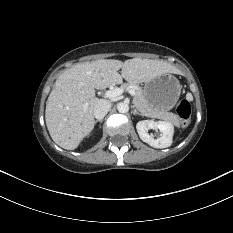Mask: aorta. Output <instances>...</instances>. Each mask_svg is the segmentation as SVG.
I'll list each match as a JSON object with an SVG mask.
<instances>
[{"mask_svg": "<svg viewBox=\"0 0 233 233\" xmlns=\"http://www.w3.org/2000/svg\"><path fill=\"white\" fill-rule=\"evenodd\" d=\"M117 109L120 113H127L129 111V105L126 102H120L117 105Z\"/></svg>", "mask_w": 233, "mask_h": 233, "instance_id": "obj_1", "label": "aorta"}]
</instances>
